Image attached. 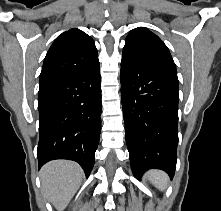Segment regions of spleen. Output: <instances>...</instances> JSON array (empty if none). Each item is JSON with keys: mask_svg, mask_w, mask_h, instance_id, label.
<instances>
[{"mask_svg": "<svg viewBox=\"0 0 221 211\" xmlns=\"http://www.w3.org/2000/svg\"><path fill=\"white\" fill-rule=\"evenodd\" d=\"M146 177L160 190H164L168 184V176L163 171L151 170Z\"/></svg>", "mask_w": 221, "mask_h": 211, "instance_id": "3e777b00", "label": "spleen"}]
</instances>
